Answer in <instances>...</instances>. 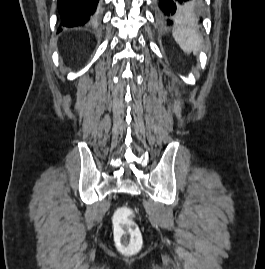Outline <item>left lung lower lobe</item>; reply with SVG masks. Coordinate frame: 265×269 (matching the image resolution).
<instances>
[{"label":"left lung lower lobe","instance_id":"obj_1","mask_svg":"<svg viewBox=\"0 0 265 269\" xmlns=\"http://www.w3.org/2000/svg\"><path fill=\"white\" fill-rule=\"evenodd\" d=\"M156 6L159 20L164 25L195 19L203 14L202 0H156Z\"/></svg>","mask_w":265,"mask_h":269}]
</instances>
